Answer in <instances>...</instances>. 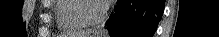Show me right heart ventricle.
Segmentation results:
<instances>
[{
  "instance_id": "obj_1",
  "label": "right heart ventricle",
  "mask_w": 219,
  "mask_h": 37,
  "mask_svg": "<svg viewBox=\"0 0 219 37\" xmlns=\"http://www.w3.org/2000/svg\"><path fill=\"white\" fill-rule=\"evenodd\" d=\"M81 0H57L55 15L60 30L70 32L85 28L86 25L80 18L78 9Z\"/></svg>"
}]
</instances>
